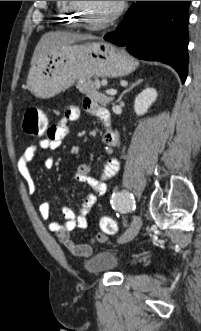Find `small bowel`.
Instances as JSON below:
<instances>
[{
  "label": "small bowel",
  "mask_w": 201,
  "mask_h": 331,
  "mask_svg": "<svg viewBox=\"0 0 201 331\" xmlns=\"http://www.w3.org/2000/svg\"><path fill=\"white\" fill-rule=\"evenodd\" d=\"M84 109L90 114L99 118L105 125L102 141L107 152L108 159L104 165L102 178L98 179L92 176L91 167L88 164L79 165L74 179L88 185L95 193L87 194L80 202L79 211L76 213L69 207H62L63 222L50 221L48 228L54 233L59 241L74 255L85 257L88 256L92 247L89 244H77L71 237V233L76 229H85L87 227V215L95 204L96 195H104L107 187L105 180L114 176L119 170V161L113 155L114 148L118 145V136L110 127V116L106 109L101 107L92 99L84 100ZM80 116V108L75 105L68 106L63 116L49 126L44 138L37 144L26 148L17 159V167L26 181L31 194L35 193L36 186L29 171V164L35 158L39 149L56 150L68 134V124L75 121ZM46 164L52 165V159H45ZM40 216L44 220H50L51 206L48 202L40 203L38 207Z\"/></svg>",
  "instance_id": "1"
}]
</instances>
